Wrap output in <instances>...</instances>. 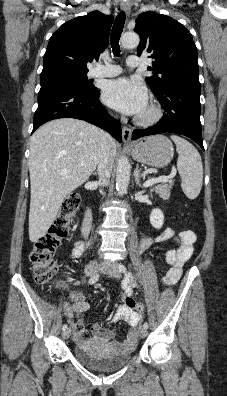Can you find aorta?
<instances>
[{"label": "aorta", "instance_id": "obj_1", "mask_svg": "<svg viewBox=\"0 0 227 396\" xmlns=\"http://www.w3.org/2000/svg\"><path fill=\"white\" fill-rule=\"evenodd\" d=\"M122 46L130 49L138 46L140 39L138 34L127 32L122 36ZM130 181V163L127 157L122 156L116 170V190L120 196L127 192Z\"/></svg>", "mask_w": 227, "mask_h": 396}]
</instances>
